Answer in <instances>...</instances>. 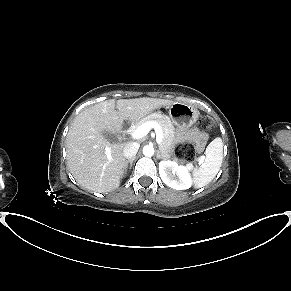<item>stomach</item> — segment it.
<instances>
[{"instance_id": "stomach-1", "label": "stomach", "mask_w": 291, "mask_h": 291, "mask_svg": "<svg viewBox=\"0 0 291 291\" xmlns=\"http://www.w3.org/2000/svg\"><path fill=\"white\" fill-rule=\"evenodd\" d=\"M164 107L168 110L170 118L179 130L191 127L199 117L197 109L181 102H174ZM159 112L162 113L161 110Z\"/></svg>"}]
</instances>
